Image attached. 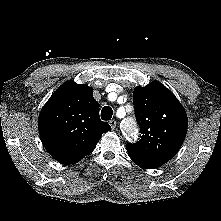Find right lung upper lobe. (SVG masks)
I'll return each mask as SVG.
<instances>
[{
  "mask_svg": "<svg viewBox=\"0 0 221 221\" xmlns=\"http://www.w3.org/2000/svg\"><path fill=\"white\" fill-rule=\"evenodd\" d=\"M88 85L65 82L42 108L38 128L51 156L75 164L91 153L103 133L111 130L99 117V103Z\"/></svg>",
  "mask_w": 221,
  "mask_h": 221,
  "instance_id": "cb5924a9",
  "label": "right lung upper lobe"
}]
</instances>
